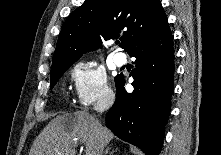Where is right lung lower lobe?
I'll use <instances>...</instances> for the list:
<instances>
[{
    "mask_svg": "<svg viewBox=\"0 0 221 155\" xmlns=\"http://www.w3.org/2000/svg\"><path fill=\"white\" fill-rule=\"evenodd\" d=\"M135 57L132 93L116 76V101L106 116V126L120 139L146 155H159L173 93L174 48L168 22L145 34L128 53Z\"/></svg>",
    "mask_w": 221,
    "mask_h": 155,
    "instance_id": "1",
    "label": "right lung lower lobe"
}]
</instances>
